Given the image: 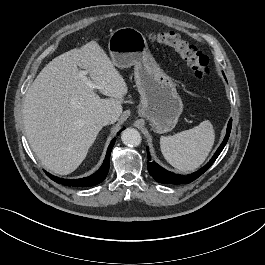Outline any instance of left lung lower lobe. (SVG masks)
<instances>
[{"mask_svg": "<svg viewBox=\"0 0 265 265\" xmlns=\"http://www.w3.org/2000/svg\"><path fill=\"white\" fill-rule=\"evenodd\" d=\"M231 126H232V119L229 120L228 126H227V132L225 135V138L223 142L221 143L220 147L217 149L216 153L212 157V159L200 170L197 172H194L190 175L184 176V175H178L174 174L172 172H169L159 166L155 161H151L149 151L147 149V156H148V163H147V168L150 173V175L158 182L164 183V184H187L192 182L193 180L197 179L199 176H201L212 164L213 162L217 159L223 148L225 147L230 131H231Z\"/></svg>", "mask_w": 265, "mask_h": 265, "instance_id": "left-lung-lower-lobe-1", "label": "left lung lower lobe"}]
</instances>
